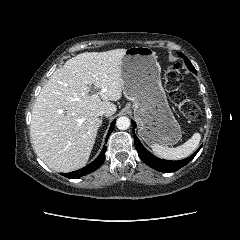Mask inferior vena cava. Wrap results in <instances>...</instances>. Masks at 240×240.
Returning <instances> with one entry per match:
<instances>
[{
    "label": "inferior vena cava",
    "instance_id": "obj_1",
    "mask_svg": "<svg viewBox=\"0 0 240 240\" xmlns=\"http://www.w3.org/2000/svg\"><path fill=\"white\" fill-rule=\"evenodd\" d=\"M98 115L99 116H102V115L108 116L109 112L107 110H101V111L98 112Z\"/></svg>",
    "mask_w": 240,
    "mask_h": 240
}]
</instances>
